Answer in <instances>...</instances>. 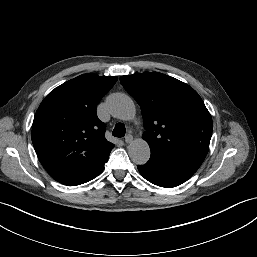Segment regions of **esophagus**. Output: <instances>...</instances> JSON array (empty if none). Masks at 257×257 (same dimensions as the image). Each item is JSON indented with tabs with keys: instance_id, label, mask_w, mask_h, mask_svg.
I'll list each match as a JSON object with an SVG mask.
<instances>
[{
	"instance_id": "1",
	"label": "esophagus",
	"mask_w": 257,
	"mask_h": 257,
	"mask_svg": "<svg viewBox=\"0 0 257 257\" xmlns=\"http://www.w3.org/2000/svg\"><path fill=\"white\" fill-rule=\"evenodd\" d=\"M133 141V136L128 134L126 137H125V142L126 143H131Z\"/></svg>"
}]
</instances>
